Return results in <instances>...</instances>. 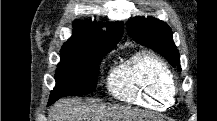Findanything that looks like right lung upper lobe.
<instances>
[{
	"label": "right lung upper lobe",
	"mask_w": 217,
	"mask_h": 121,
	"mask_svg": "<svg viewBox=\"0 0 217 121\" xmlns=\"http://www.w3.org/2000/svg\"><path fill=\"white\" fill-rule=\"evenodd\" d=\"M105 25L97 22H81L76 20L73 25V35L63 47L95 44L104 51H110L120 41L124 25L122 22L107 24V31H102Z\"/></svg>",
	"instance_id": "right-lung-upper-lobe-1"
}]
</instances>
